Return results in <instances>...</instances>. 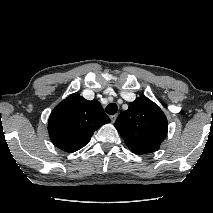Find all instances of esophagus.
<instances>
[{
  "mask_svg": "<svg viewBox=\"0 0 213 213\" xmlns=\"http://www.w3.org/2000/svg\"><path fill=\"white\" fill-rule=\"evenodd\" d=\"M116 118H117V114L111 115L110 116L111 122L114 123Z\"/></svg>",
  "mask_w": 213,
  "mask_h": 213,
  "instance_id": "esophagus-1",
  "label": "esophagus"
}]
</instances>
